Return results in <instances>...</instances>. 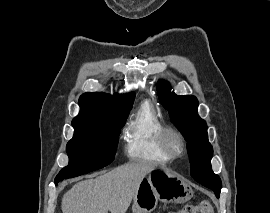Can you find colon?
Masks as SVG:
<instances>
[{"label": "colon", "instance_id": "colon-1", "mask_svg": "<svg viewBox=\"0 0 270 213\" xmlns=\"http://www.w3.org/2000/svg\"><path fill=\"white\" fill-rule=\"evenodd\" d=\"M169 213H213V207L208 201H201L197 204L185 205L177 212Z\"/></svg>", "mask_w": 270, "mask_h": 213}]
</instances>
